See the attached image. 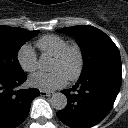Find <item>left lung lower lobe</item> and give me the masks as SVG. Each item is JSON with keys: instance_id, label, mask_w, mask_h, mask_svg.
Listing matches in <instances>:
<instances>
[{"instance_id": "0a47b994", "label": "left lung lower lobe", "mask_w": 128, "mask_h": 128, "mask_svg": "<svg viewBox=\"0 0 128 128\" xmlns=\"http://www.w3.org/2000/svg\"><path fill=\"white\" fill-rule=\"evenodd\" d=\"M122 81L121 64L107 62L80 76L76 85L63 90L67 106L57 117L71 128H88L101 122L110 112Z\"/></svg>"}]
</instances>
